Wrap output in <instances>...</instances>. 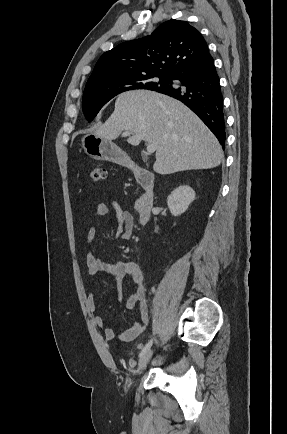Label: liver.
<instances>
[{
	"mask_svg": "<svg viewBox=\"0 0 287 434\" xmlns=\"http://www.w3.org/2000/svg\"><path fill=\"white\" fill-rule=\"evenodd\" d=\"M122 131L137 146L156 145L153 170L162 175L220 165L223 151L213 133L188 107L169 96L146 90L120 94L108 120L94 133L114 140Z\"/></svg>",
	"mask_w": 287,
	"mask_h": 434,
	"instance_id": "1",
	"label": "liver"
}]
</instances>
